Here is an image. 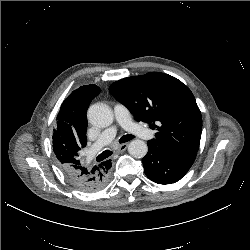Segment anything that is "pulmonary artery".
<instances>
[{
  "label": "pulmonary artery",
  "mask_w": 250,
  "mask_h": 250,
  "mask_svg": "<svg viewBox=\"0 0 250 250\" xmlns=\"http://www.w3.org/2000/svg\"><path fill=\"white\" fill-rule=\"evenodd\" d=\"M114 115L116 122L129 133L142 138L150 139L154 136V132L144 125L134 123L127 111L122 104H116L114 106ZM117 128L111 126L104 130L100 135L99 139L87 150L86 155L90 160L92 159L104 146L109 144L116 136Z\"/></svg>",
  "instance_id": "1"
}]
</instances>
